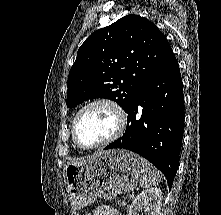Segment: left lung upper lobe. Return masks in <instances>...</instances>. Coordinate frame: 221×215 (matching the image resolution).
<instances>
[{
  "instance_id": "1",
  "label": "left lung upper lobe",
  "mask_w": 221,
  "mask_h": 215,
  "mask_svg": "<svg viewBox=\"0 0 221 215\" xmlns=\"http://www.w3.org/2000/svg\"><path fill=\"white\" fill-rule=\"evenodd\" d=\"M171 46L154 23L127 15L92 33L68 75V108L93 98L117 102L127 112L143 83L165 61Z\"/></svg>"
}]
</instances>
